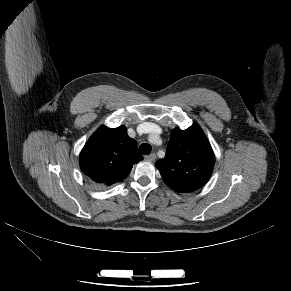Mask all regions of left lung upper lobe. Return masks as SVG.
Listing matches in <instances>:
<instances>
[{
	"mask_svg": "<svg viewBox=\"0 0 291 291\" xmlns=\"http://www.w3.org/2000/svg\"><path fill=\"white\" fill-rule=\"evenodd\" d=\"M214 163L211 145L201 127L194 123L186 130H172L166 156L156 162V167L169 187L193 192L208 181Z\"/></svg>",
	"mask_w": 291,
	"mask_h": 291,
	"instance_id": "1",
	"label": "left lung upper lobe"
}]
</instances>
